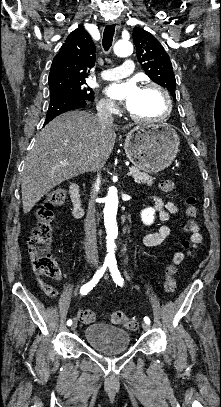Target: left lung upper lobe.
I'll list each match as a JSON object with an SVG mask.
<instances>
[{"mask_svg": "<svg viewBox=\"0 0 221 407\" xmlns=\"http://www.w3.org/2000/svg\"><path fill=\"white\" fill-rule=\"evenodd\" d=\"M133 41L137 48V59L145 73L155 83L165 87L176 100V80L169 55L161 43L149 32L134 27Z\"/></svg>", "mask_w": 221, "mask_h": 407, "instance_id": "obj_1", "label": "left lung upper lobe"}]
</instances>
